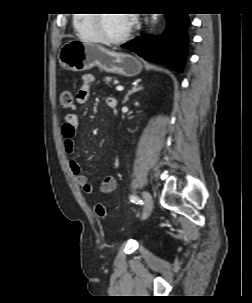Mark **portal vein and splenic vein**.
Instances as JSON below:
<instances>
[{
    "instance_id": "1",
    "label": "portal vein and splenic vein",
    "mask_w": 252,
    "mask_h": 303,
    "mask_svg": "<svg viewBox=\"0 0 252 303\" xmlns=\"http://www.w3.org/2000/svg\"><path fill=\"white\" fill-rule=\"evenodd\" d=\"M124 88H123V86H121V85H118L117 87H116V90L117 91H122Z\"/></svg>"
}]
</instances>
